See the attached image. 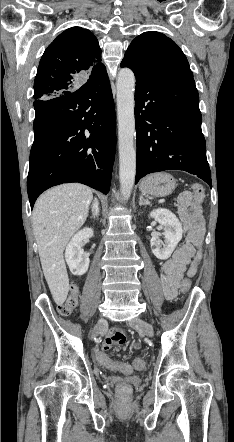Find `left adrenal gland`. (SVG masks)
Here are the masks:
<instances>
[{
	"mask_svg": "<svg viewBox=\"0 0 234 442\" xmlns=\"http://www.w3.org/2000/svg\"><path fill=\"white\" fill-rule=\"evenodd\" d=\"M151 203H150V201L148 200V199H145L144 197H143V195H140V197H139V205L141 206V205H150Z\"/></svg>",
	"mask_w": 234,
	"mask_h": 442,
	"instance_id": "left-adrenal-gland-1",
	"label": "left adrenal gland"
}]
</instances>
